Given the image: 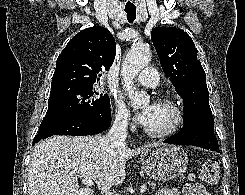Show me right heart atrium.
<instances>
[{
    "mask_svg": "<svg viewBox=\"0 0 245 195\" xmlns=\"http://www.w3.org/2000/svg\"><path fill=\"white\" fill-rule=\"evenodd\" d=\"M113 122L117 127L122 129L128 128L133 122L130 111L119 98H116L114 101Z\"/></svg>",
    "mask_w": 245,
    "mask_h": 195,
    "instance_id": "obj_1",
    "label": "right heart atrium"
}]
</instances>
